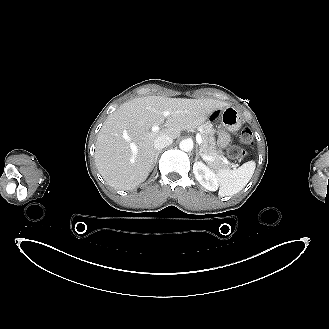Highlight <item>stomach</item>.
<instances>
[{"label":"stomach","mask_w":329,"mask_h":329,"mask_svg":"<svg viewBox=\"0 0 329 329\" xmlns=\"http://www.w3.org/2000/svg\"><path fill=\"white\" fill-rule=\"evenodd\" d=\"M209 120H219L220 123L230 132H235L242 125V117L240 112L232 106H226L214 110Z\"/></svg>","instance_id":"obj_1"}]
</instances>
